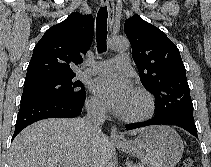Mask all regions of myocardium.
<instances>
[{
	"label": "myocardium",
	"mask_w": 211,
	"mask_h": 167,
	"mask_svg": "<svg viewBox=\"0 0 211 167\" xmlns=\"http://www.w3.org/2000/svg\"><path fill=\"white\" fill-rule=\"evenodd\" d=\"M133 94L143 100L144 110L137 115L121 114V119L132 123L145 121L150 118L154 112V98L149 91L143 88H135Z\"/></svg>",
	"instance_id": "obj_1"
}]
</instances>
